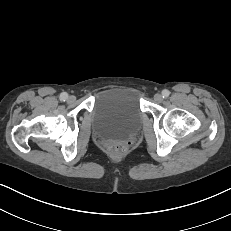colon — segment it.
Instances as JSON below:
<instances>
[{"label": "colon", "mask_w": 231, "mask_h": 231, "mask_svg": "<svg viewBox=\"0 0 231 231\" xmlns=\"http://www.w3.org/2000/svg\"><path fill=\"white\" fill-rule=\"evenodd\" d=\"M108 149L113 155H121L126 152L127 144L120 141H114L109 144Z\"/></svg>", "instance_id": "colon-1"}]
</instances>
